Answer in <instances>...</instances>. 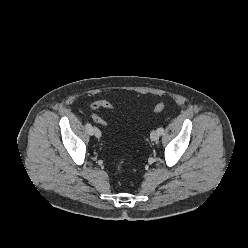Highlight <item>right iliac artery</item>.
<instances>
[{
  "mask_svg": "<svg viewBox=\"0 0 248 248\" xmlns=\"http://www.w3.org/2000/svg\"><path fill=\"white\" fill-rule=\"evenodd\" d=\"M86 130L88 131L89 134H92L93 128L90 123H86L85 125Z\"/></svg>",
  "mask_w": 248,
  "mask_h": 248,
  "instance_id": "obj_1",
  "label": "right iliac artery"
}]
</instances>
